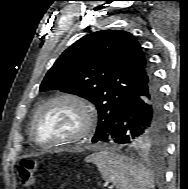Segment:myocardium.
Listing matches in <instances>:
<instances>
[{
    "label": "myocardium",
    "instance_id": "1",
    "mask_svg": "<svg viewBox=\"0 0 188 189\" xmlns=\"http://www.w3.org/2000/svg\"><path fill=\"white\" fill-rule=\"evenodd\" d=\"M70 103L78 107L82 115V124L80 129L71 137L52 141V142H42L36 136V124L42 114V112L49 106L57 103ZM96 124V114L91 103L84 97L70 92H63L52 96L43 102L36 110L30 126V135L33 141L42 147H59L74 144L86 138L95 128Z\"/></svg>",
    "mask_w": 188,
    "mask_h": 189
}]
</instances>
